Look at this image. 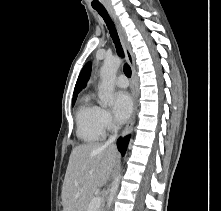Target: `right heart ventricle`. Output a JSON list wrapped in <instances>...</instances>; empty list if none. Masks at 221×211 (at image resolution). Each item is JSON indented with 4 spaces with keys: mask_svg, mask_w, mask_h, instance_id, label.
I'll return each mask as SVG.
<instances>
[{
    "mask_svg": "<svg viewBox=\"0 0 221 211\" xmlns=\"http://www.w3.org/2000/svg\"><path fill=\"white\" fill-rule=\"evenodd\" d=\"M98 109L89 95H84L76 111V133L80 140L94 143L102 139L103 133L97 122Z\"/></svg>",
    "mask_w": 221,
    "mask_h": 211,
    "instance_id": "right-heart-ventricle-1",
    "label": "right heart ventricle"
}]
</instances>
